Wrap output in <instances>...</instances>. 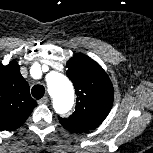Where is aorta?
Listing matches in <instances>:
<instances>
[{
	"label": "aorta",
	"mask_w": 153,
	"mask_h": 153,
	"mask_svg": "<svg viewBox=\"0 0 153 153\" xmlns=\"http://www.w3.org/2000/svg\"><path fill=\"white\" fill-rule=\"evenodd\" d=\"M46 81L48 90L53 97L55 110L60 113L69 111L74 101V90L71 82L58 72L49 73Z\"/></svg>",
	"instance_id": "1"
}]
</instances>
